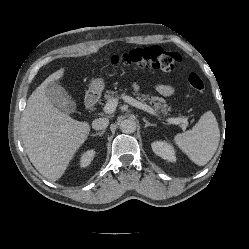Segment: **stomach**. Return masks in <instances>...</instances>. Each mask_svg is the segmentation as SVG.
I'll return each mask as SVG.
<instances>
[{
	"mask_svg": "<svg viewBox=\"0 0 249 249\" xmlns=\"http://www.w3.org/2000/svg\"><path fill=\"white\" fill-rule=\"evenodd\" d=\"M104 89V81L103 79H95L90 84L91 92H100Z\"/></svg>",
	"mask_w": 249,
	"mask_h": 249,
	"instance_id": "1",
	"label": "stomach"
}]
</instances>
